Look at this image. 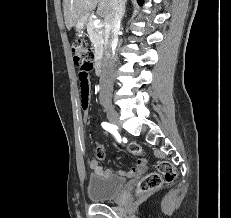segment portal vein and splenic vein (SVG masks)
Masks as SVG:
<instances>
[{"label": "portal vein and splenic vein", "instance_id": "portal-vein-and-splenic-vein-1", "mask_svg": "<svg viewBox=\"0 0 231 218\" xmlns=\"http://www.w3.org/2000/svg\"><path fill=\"white\" fill-rule=\"evenodd\" d=\"M94 26H95V27L101 26V20H100V19L94 20Z\"/></svg>", "mask_w": 231, "mask_h": 218}]
</instances>
